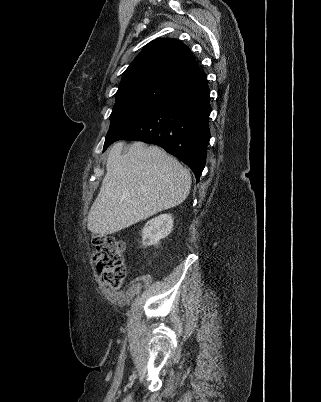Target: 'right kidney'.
<instances>
[{
	"mask_svg": "<svg viewBox=\"0 0 321 402\" xmlns=\"http://www.w3.org/2000/svg\"><path fill=\"white\" fill-rule=\"evenodd\" d=\"M173 227V218L170 214H161L149 220L142 230V243L146 246L156 245L167 237Z\"/></svg>",
	"mask_w": 321,
	"mask_h": 402,
	"instance_id": "right-kidney-1",
	"label": "right kidney"
}]
</instances>
